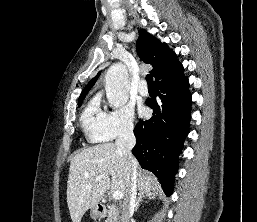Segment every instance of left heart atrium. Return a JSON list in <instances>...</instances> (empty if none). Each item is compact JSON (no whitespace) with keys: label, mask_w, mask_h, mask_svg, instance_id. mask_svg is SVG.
I'll use <instances>...</instances> for the list:
<instances>
[{"label":"left heart atrium","mask_w":257,"mask_h":222,"mask_svg":"<svg viewBox=\"0 0 257 222\" xmlns=\"http://www.w3.org/2000/svg\"><path fill=\"white\" fill-rule=\"evenodd\" d=\"M139 111H140V113H141V114L143 113V109H142V108H140V110H139Z\"/></svg>","instance_id":"left-heart-atrium-1"}]
</instances>
